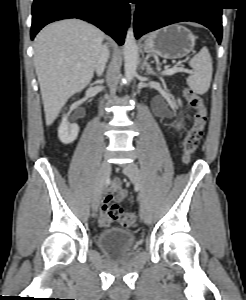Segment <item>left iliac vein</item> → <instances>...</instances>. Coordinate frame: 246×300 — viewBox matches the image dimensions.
Segmentation results:
<instances>
[{
    "label": "left iliac vein",
    "mask_w": 246,
    "mask_h": 300,
    "mask_svg": "<svg viewBox=\"0 0 246 300\" xmlns=\"http://www.w3.org/2000/svg\"><path fill=\"white\" fill-rule=\"evenodd\" d=\"M123 173L130 179V181L140 188L139 202H140V216L144 223L149 224L152 219L151 209L148 202V197L144 188L142 173L135 163L126 164L123 167Z\"/></svg>",
    "instance_id": "4c4485c4"
}]
</instances>
